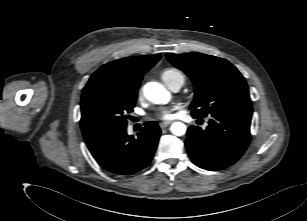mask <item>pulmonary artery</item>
<instances>
[{
  "instance_id": "e3ab8cb5",
  "label": "pulmonary artery",
  "mask_w": 307,
  "mask_h": 221,
  "mask_svg": "<svg viewBox=\"0 0 307 221\" xmlns=\"http://www.w3.org/2000/svg\"><path fill=\"white\" fill-rule=\"evenodd\" d=\"M184 81L182 79H177L174 82H172L169 86V88L174 91L177 92L180 90V88L182 87Z\"/></svg>"
}]
</instances>
